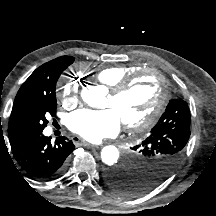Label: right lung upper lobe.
<instances>
[{
	"instance_id": "right-lung-upper-lobe-1",
	"label": "right lung upper lobe",
	"mask_w": 216,
	"mask_h": 216,
	"mask_svg": "<svg viewBox=\"0 0 216 216\" xmlns=\"http://www.w3.org/2000/svg\"><path fill=\"white\" fill-rule=\"evenodd\" d=\"M74 58L70 56H61L54 60H51L40 67H38L30 77L22 84L19 89L10 116L8 133L9 138L16 136L11 130V123L15 115L18 113L21 105L27 100V97L34 91L46 87L56 80L59 74V65L60 63L72 61Z\"/></svg>"
}]
</instances>
